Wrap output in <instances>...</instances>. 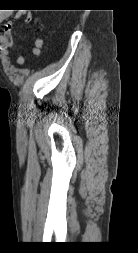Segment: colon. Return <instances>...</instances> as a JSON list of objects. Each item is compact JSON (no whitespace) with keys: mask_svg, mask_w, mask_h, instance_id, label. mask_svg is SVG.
<instances>
[{"mask_svg":"<svg viewBox=\"0 0 138 253\" xmlns=\"http://www.w3.org/2000/svg\"><path fill=\"white\" fill-rule=\"evenodd\" d=\"M43 48H44V40L40 37L36 38V40L34 42V47L32 49L33 53L36 56H38V55H40Z\"/></svg>","mask_w":138,"mask_h":253,"instance_id":"obj_1","label":"colon"}]
</instances>
